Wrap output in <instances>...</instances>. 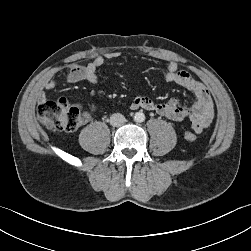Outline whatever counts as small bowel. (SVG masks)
Listing matches in <instances>:
<instances>
[{
	"instance_id": "small-bowel-1",
	"label": "small bowel",
	"mask_w": 251,
	"mask_h": 251,
	"mask_svg": "<svg viewBox=\"0 0 251 251\" xmlns=\"http://www.w3.org/2000/svg\"><path fill=\"white\" fill-rule=\"evenodd\" d=\"M119 55L117 52H110L104 56H97L85 65H74L70 67L64 77V81L69 84L80 81H87L91 84L99 82L97 71L102 67L106 60H112ZM165 79L167 82L180 85L190 92L196 98L191 107L182 105L178 98H172L167 102L155 103L150 98L138 95L131 102V109H145L155 112L172 121L180 122L189 120L195 133H201L207 128L214 119V104L208 89L199 81L195 80L187 71L178 69L174 61L167 63ZM60 84L57 79H47L42 83L43 90H53ZM38 102L46 101L44 92L37 96ZM95 111L94 105L87 110L80 112V125L86 123Z\"/></svg>"
}]
</instances>
